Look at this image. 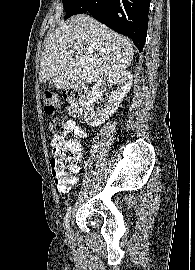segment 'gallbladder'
<instances>
[{
	"label": "gallbladder",
	"mask_w": 195,
	"mask_h": 270,
	"mask_svg": "<svg viewBox=\"0 0 195 270\" xmlns=\"http://www.w3.org/2000/svg\"><path fill=\"white\" fill-rule=\"evenodd\" d=\"M48 83L50 87H53V84L51 83V81H48Z\"/></svg>",
	"instance_id": "obj_1"
}]
</instances>
